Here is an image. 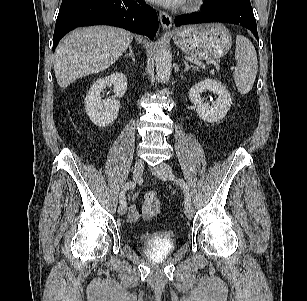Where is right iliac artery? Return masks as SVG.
<instances>
[{
    "instance_id": "right-iliac-artery-1",
    "label": "right iliac artery",
    "mask_w": 307,
    "mask_h": 301,
    "mask_svg": "<svg viewBox=\"0 0 307 301\" xmlns=\"http://www.w3.org/2000/svg\"><path fill=\"white\" fill-rule=\"evenodd\" d=\"M136 187V182L130 181L124 184V186L122 187L120 196H119V202L120 204H122L124 201H126L125 199V193L128 189H133Z\"/></svg>"
}]
</instances>
